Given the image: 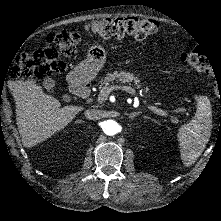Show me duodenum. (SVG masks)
<instances>
[{
  "label": "duodenum",
  "mask_w": 221,
  "mask_h": 221,
  "mask_svg": "<svg viewBox=\"0 0 221 221\" xmlns=\"http://www.w3.org/2000/svg\"><path fill=\"white\" fill-rule=\"evenodd\" d=\"M70 87L75 96L86 98L90 93V85L85 72H75L71 76Z\"/></svg>",
  "instance_id": "410a0bca"
}]
</instances>
